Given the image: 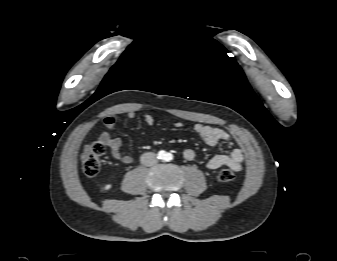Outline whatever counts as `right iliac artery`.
Segmentation results:
<instances>
[{"label": "right iliac artery", "instance_id": "82829eb1", "mask_svg": "<svg viewBox=\"0 0 337 261\" xmlns=\"http://www.w3.org/2000/svg\"><path fill=\"white\" fill-rule=\"evenodd\" d=\"M158 155H159V158H164L165 152L164 151H160Z\"/></svg>", "mask_w": 337, "mask_h": 261}]
</instances>
